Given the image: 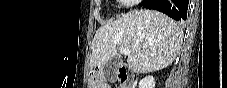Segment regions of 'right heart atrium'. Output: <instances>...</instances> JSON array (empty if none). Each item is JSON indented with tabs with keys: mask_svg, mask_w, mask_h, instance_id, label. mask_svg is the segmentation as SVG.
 <instances>
[{
	"mask_svg": "<svg viewBox=\"0 0 227 88\" xmlns=\"http://www.w3.org/2000/svg\"><path fill=\"white\" fill-rule=\"evenodd\" d=\"M121 2L127 6H133L138 2V0H121Z\"/></svg>",
	"mask_w": 227,
	"mask_h": 88,
	"instance_id": "obj_1",
	"label": "right heart atrium"
}]
</instances>
